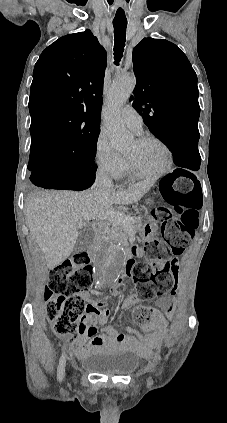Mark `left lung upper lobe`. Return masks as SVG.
Listing matches in <instances>:
<instances>
[{
  "instance_id": "1",
  "label": "left lung upper lobe",
  "mask_w": 227,
  "mask_h": 423,
  "mask_svg": "<svg viewBox=\"0 0 227 423\" xmlns=\"http://www.w3.org/2000/svg\"><path fill=\"white\" fill-rule=\"evenodd\" d=\"M132 57L137 84L130 100L144 111L150 131L162 141L199 132L197 76L182 50L167 40L144 38Z\"/></svg>"
}]
</instances>
